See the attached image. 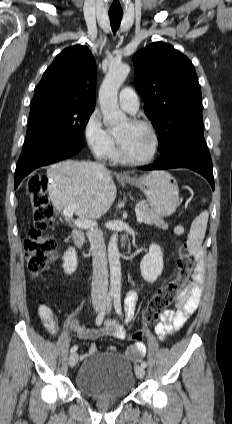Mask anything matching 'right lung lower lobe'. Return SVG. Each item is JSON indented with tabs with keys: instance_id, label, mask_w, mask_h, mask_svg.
Masks as SVG:
<instances>
[{
	"instance_id": "right-lung-lower-lobe-1",
	"label": "right lung lower lobe",
	"mask_w": 232,
	"mask_h": 424,
	"mask_svg": "<svg viewBox=\"0 0 232 424\" xmlns=\"http://www.w3.org/2000/svg\"><path fill=\"white\" fill-rule=\"evenodd\" d=\"M84 146L83 141L61 140L56 138H37L23 146L16 165V189L21 180L34 169L58 162L77 154Z\"/></svg>"
}]
</instances>
